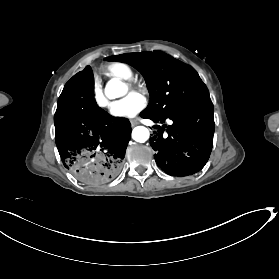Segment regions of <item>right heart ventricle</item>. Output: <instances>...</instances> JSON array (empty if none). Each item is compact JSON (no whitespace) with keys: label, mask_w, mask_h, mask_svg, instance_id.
Returning a JSON list of instances; mask_svg holds the SVG:
<instances>
[{"label":"right heart ventricle","mask_w":279,"mask_h":279,"mask_svg":"<svg viewBox=\"0 0 279 279\" xmlns=\"http://www.w3.org/2000/svg\"><path fill=\"white\" fill-rule=\"evenodd\" d=\"M102 72L111 79L127 81L134 77L133 70L124 63L113 62L102 68Z\"/></svg>","instance_id":"e07e8e85"}]
</instances>
